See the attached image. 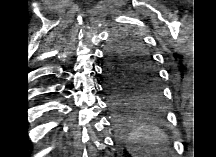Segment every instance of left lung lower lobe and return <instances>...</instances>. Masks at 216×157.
<instances>
[{"label": "left lung lower lobe", "mask_w": 216, "mask_h": 157, "mask_svg": "<svg viewBox=\"0 0 216 157\" xmlns=\"http://www.w3.org/2000/svg\"><path fill=\"white\" fill-rule=\"evenodd\" d=\"M106 67V63H105ZM105 74V89L110 97V104L115 113V127L118 133L126 135L133 129L137 117L133 115L134 97H132L131 89H124L122 86L111 83L108 80L106 68Z\"/></svg>", "instance_id": "left-lung-lower-lobe-1"}]
</instances>
